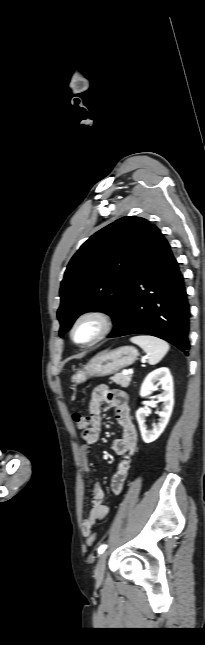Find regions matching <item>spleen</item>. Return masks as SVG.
Segmentation results:
<instances>
[{
  "mask_svg": "<svg viewBox=\"0 0 205 645\" xmlns=\"http://www.w3.org/2000/svg\"><path fill=\"white\" fill-rule=\"evenodd\" d=\"M130 340L147 353L150 365H155L160 362L169 350L167 342L154 336L139 335L132 337Z\"/></svg>",
  "mask_w": 205,
  "mask_h": 645,
  "instance_id": "spleen-1",
  "label": "spleen"
}]
</instances>
